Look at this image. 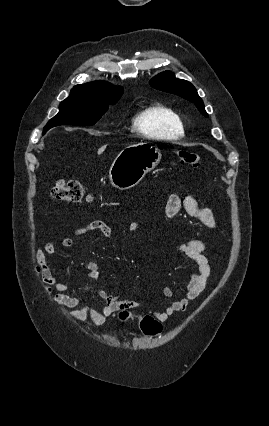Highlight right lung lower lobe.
Here are the masks:
<instances>
[{
    "instance_id": "98d812e1",
    "label": "right lung lower lobe",
    "mask_w": 269,
    "mask_h": 426,
    "mask_svg": "<svg viewBox=\"0 0 269 426\" xmlns=\"http://www.w3.org/2000/svg\"><path fill=\"white\" fill-rule=\"evenodd\" d=\"M46 131H47V130H43V134H45V133H46Z\"/></svg>"
}]
</instances>
